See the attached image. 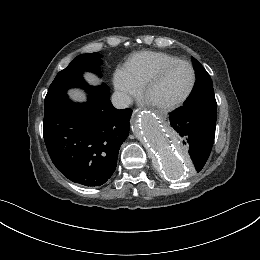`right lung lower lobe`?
<instances>
[{"instance_id":"1","label":"right lung lower lobe","mask_w":260,"mask_h":260,"mask_svg":"<svg viewBox=\"0 0 260 260\" xmlns=\"http://www.w3.org/2000/svg\"><path fill=\"white\" fill-rule=\"evenodd\" d=\"M87 102L66 93L45 98L43 135L50 158L69 180L100 186L113 174L121 144L129 134L131 109L118 110L107 85L89 86Z\"/></svg>"}]
</instances>
